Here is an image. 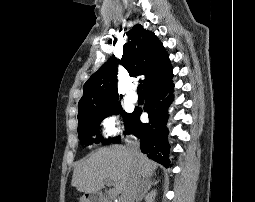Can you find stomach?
Wrapping results in <instances>:
<instances>
[{
    "label": "stomach",
    "mask_w": 255,
    "mask_h": 202,
    "mask_svg": "<svg viewBox=\"0 0 255 202\" xmlns=\"http://www.w3.org/2000/svg\"><path fill=\"white\" fill-rule=\"evenodd\" d=\"M79 202H92L91 201V196L88 195V194H85L83 195L81 198H80V201Z\"/></svg>",
    "instance_id": "obj_1"
}]
</instances>
